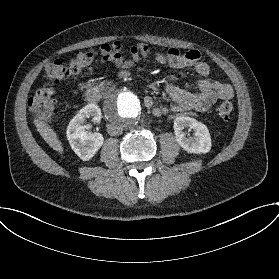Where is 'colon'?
Here are the masks:
<instances>
[{
	"label": "colon",
	"mask_w": 279,
	"mask_h": 279,
	"mask_svg": "<svg viewBox=\"0 0 279 279\" xmlns=\"http://www.w3.org/2000/svg\"><path fill=\"white\" fill-rule=\"evenodd\" d=\"M93 55L89 52H80L73 55L68 63L60 61L49 62L45 66V75L52 83H60L68 76H74L85 71L91 62ZM54 89L47 85L38 89L35 94L29 99L28 106L30 112L37 118L46 120L54 112L55 100ZM233 112V104L229 100H222L217 106V116L220 120H228Z\"/></svg>",
	"instance_id": "1"
}]
</instances>
